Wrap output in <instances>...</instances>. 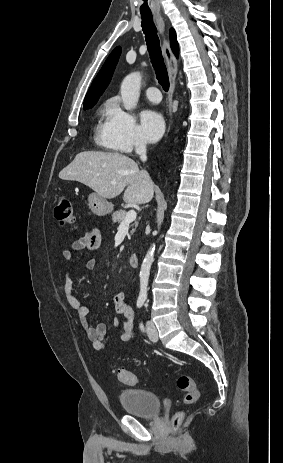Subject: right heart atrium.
Instances as JSON below:
<instances>
[{
    "instance_id": "d8ad5b80",
    "label": "right heart atrium",
    "mask_w": 283,
    "mask_h": 463,
    "mask_svg": "<svg viewBox=\"0 0 283 463\" xmlns=\"http://www.w3.org/2000/svg\"><path fill=\"white\" fill-rule=\"evenodd\" d=\"M107 133L110 141L122 152H130L145 147V142L138 131L135 118L117 103L109 106Z\"/></svg>"
}]
</instances>
